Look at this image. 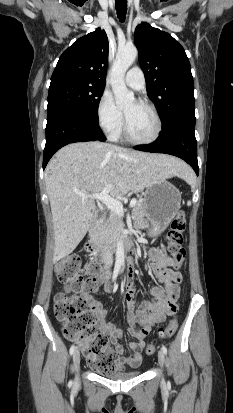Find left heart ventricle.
I'll return each mask as SVG.
<instances>
[{
	"mask_svg": "<svg viewBox=\"0 0 233 413\" xmlns=\"http://www.w3.org/2000/svg\"><path fill=\"white\" fill-rule=\"evenodd\" d=\"M130 134L139 140L150 139L156 130V120L153 113L137 102H130L124 107Z\"/></svg>",
	"mask_w": 233,
	"mask_h": 413,
	"instance_id": "1",
	"label": "left heart ventricle"
}]
</instances>
